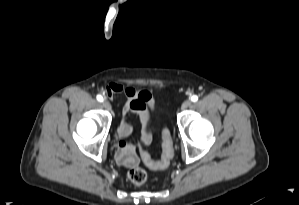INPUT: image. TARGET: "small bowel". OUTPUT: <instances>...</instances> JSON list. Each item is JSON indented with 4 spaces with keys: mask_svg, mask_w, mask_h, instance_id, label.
Here are the masks:
<instances>
[{
    "mask_svg": "<svg viewBox=\"0 0 299 205\" xmlns=\"http://www.w3.org/2000/svg\"><path fill=\"white\" fill-rule=\"evenodd\" d=\"M106 94L112 97L117 93H124L127 101L123 107V122L117 129L119 138L126 137L130 132V120L134 116H139L144 124L142 141L137 145L128 144L121 140L115 152L117 162L124 167H134L138 164L139 158L137 156V149L143 143L148 144L151 140V131L149 129V122L154 108V97L151 92L147 90H137L132 87H124L118 83H111L106 87Z\"/></svg>",
    "mask_w": 299,
    "mask_h": 205,
    "instance_id": "c3829d8e",
    "label": "small bowel"
}]
</instances>
